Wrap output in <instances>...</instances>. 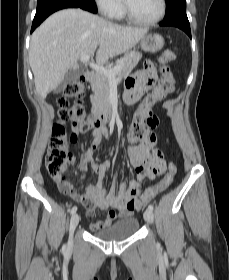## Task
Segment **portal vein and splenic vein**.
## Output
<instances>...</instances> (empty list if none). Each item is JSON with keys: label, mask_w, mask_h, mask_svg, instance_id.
Listing matches in <instances>:
<instances>
[{"label": "portal vein and splenic vein", "mask_w": 229, "mask_h": 280, "mask_svg": "<svg viewBox=\"0 0 229 280\" xmlns=\"http://www.w3.org/2000/svg\"><path fill=\"white\" fill-rule=\"evenodd\" d=\"M81 61L83 63L89 64V66L97 71L100 72L102 74H104L105 76L108 77L109 80H115L116 74L122 69L123 65L122 64H118L117 66H115L112 69H108L105 68L103 65L97 64V63H92L90 62V55H82L80 57Z\"/></svg>", "instance_id": "18ae733b"}]
</instances>
